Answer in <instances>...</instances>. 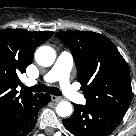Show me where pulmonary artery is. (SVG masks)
I'll return each mask as SVG.
<instances>
[{"label":"pulmonary artery","mask_w":136,"mask_h":136,"mask_svg":"<svg viewBox=\"0 0 136 136\" xmlns=\"http://www.w3.org/2000/svg\"><path fill=\"white\" fill-rule=\"evenodd\" d=\"M73 65V58L70 53L62 52L50 71L44 76L47 82L59 81L64 95L71 101L83 104L85 98L80 94L70 83L69 74ZM35 81H30L28 84L33 85Z\"/></svg>","instance_id":"pulmonary-artery-1"}]
</instances>
